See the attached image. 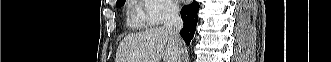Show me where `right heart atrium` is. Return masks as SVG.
Listing matches in <instances>:
<instances>
[{
    "label": "right heart atrium",
    "instance_id": "right-heart-atrium-1",
    "mask_svg": "<svg viewBox=\"0 0 331 62\" xmlns=\"http://www.w3.org/2000/svg\"><path fill=\"white\" fill-rule=\"evenodd\" d=\"M143 22L147 26H157L165 21L174 19L178 9L171 0H141Z\"/></svg>",
    "mask_w": 331,
    "mask_h": 62
}]
</instances>
